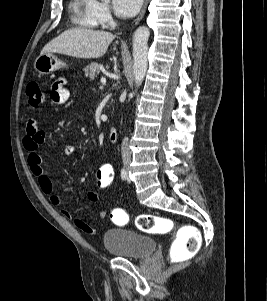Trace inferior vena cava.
<instances>
[{"label": "inferior vena cava", "instance_id": "inferior-vena-cava-1", "mask_svg": "<svg viewBox=\"0 0 267 301\" xmlns=\"http://www.w3.org/2000/svg\"><path fill=\"white\" fill-rule=\"evenodd\" d=\"M121 155L124 164H128L131 160V152L129 150L128 138L125 137L121 145Z\"/></svg>", "mask_w": 267, "mask_h": 301}]
</instances>
